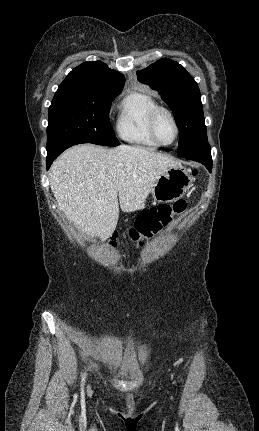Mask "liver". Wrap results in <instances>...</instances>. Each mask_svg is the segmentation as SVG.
<instances>
[{
	"label": "liver",
	"mask_w": 259,
	"mask_h": 431,
	"mask_svg": "<svg viewBox=\"0 0 259 431\" xmlns=\"http://www.w3.org/2000/svg\"><path fill=\"white\" fill-rule=\"evenodd\" d=\"M177 165L173 157L141 146L82 144L54 161L50 187L58 208L75 227L104 240L117 226L118 196L122 211L142 209L156 181Z\"/></svg>",
	"instance_id": "liver-1"
}]
</instances>
